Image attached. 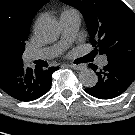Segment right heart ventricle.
<instances>
[{"mask_svg":"<svg viewBox=\"0 0 135 135\" xmlns=\"http://www.w3.org/2000/svg\"><path fill=\"white\" fill-rule=\"evenodd\" d=\"M70 12H76L74 9H67L63 13H70Z\"/></svg>","mask_w":135,"mask_h":135,"instance_id":"right-heart-ventricle-1","label":"right heart ventricle"}]
</instances>
